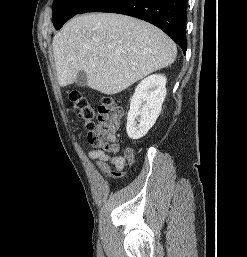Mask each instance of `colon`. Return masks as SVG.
<instances>
[{
  "label": "colon",
  "instance_id": "colon-1",
  "mask_svg": "<svg viewBox=\"0 0 247 257\" xmlns=\"http://www.w3.org/2000/svg\"><path fill=\"white\" fill-rule=\"evenodd\" d=\"M69 100L74 111L89 128V143L106 152H117L119 145L114 133L122 121L123 112L120 106L111 97L106 96L101 99L95 110L90 100L78 91L70 92ZM124 154L129 155V152L125 150Z\"/></svg>",
  "mask_w": 247,
  "mask_h": 257
}]
</instances>
